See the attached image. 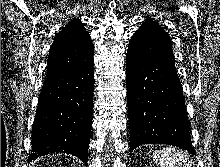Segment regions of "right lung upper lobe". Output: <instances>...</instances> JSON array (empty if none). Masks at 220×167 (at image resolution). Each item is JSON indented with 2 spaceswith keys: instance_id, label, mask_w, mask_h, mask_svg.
<instances>
[{
  "instance_id": "cb5924a9",
  "label": "right lung upper lobe",
  "mask_w": 220,
  "mask_h": 167,
  "mask_svg": "<svg viewBox=\"0 0 220 167\" xmlns=\"http://www.w3.org/2000/svg\"><path fill=\"white\" fill-rule=\"evenodd\" d=\"M94 47L79 19L59 31L51 46L46 76L75 71L93 62Z\"/></svg>"
}]
</instances>
